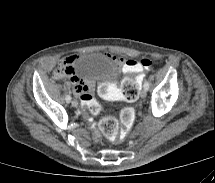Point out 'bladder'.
Segmentation results:
<instances>
[{"mask_svg": "<svg viewBox=\"0 0 215 183\" xmlns=\"http://www.w3.org/2000/svg\"><path fill=\"white\" fill-rule=\"evenodd\" d=\"M74 70L87 79L109 84L116 83L121 74L119 63L101 52L82 54L74 63Z\"/></svg>", "mask_w": 215, "mask_h": 183, "instance_id": "obj_1", "label": "bladder"}]
</instances>
